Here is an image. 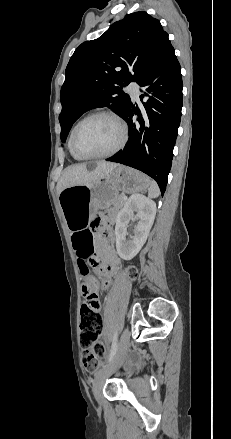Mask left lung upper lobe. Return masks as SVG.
Masks as SVG:
<instances>
[{"label":"left lung upper lobe","mask_w":231,"mask_h":439,"mask_svg":"<svg viewBox=\"0 0 231 439\" xmlns=\"http://www.w3.org/2000/svg\"><path fill=\"white\" fill-rule=\"evenodd\" d=\"M170 46L160 21L145 11L126 15L99 38L79 45L60 93L61 141L90 109L106 106L122 117L131 103L122 88L138 82Z\"/></svg>","instance_id":"obj_1"}]
</instances>
